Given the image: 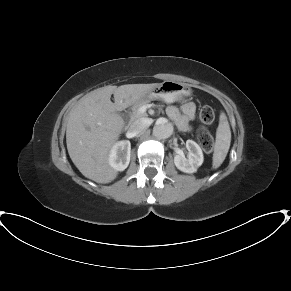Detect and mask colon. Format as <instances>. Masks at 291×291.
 I'll list each match as a JSON object with an SVG mask.
<instances>
[{
  "label": "colon",
  "mask_w": 291,
  "mask_h": 291,
  "mask_svg": "<svg viewBox=\"0 0 291 291\" xmlns=\"http://www.w3.org/2000/svg\"><path fill=\"white\" fill-rule=\"evenodd\" d=\"M199 119L204 124H212L215 120V113L213 109L209 106L203 107L199 112ZM196 139L206 152H210L212 150L213 138L208 130L200 128L196 133Z\"/></svg>",
  "instance_id": "5ec220e1"
}]
</instances>
